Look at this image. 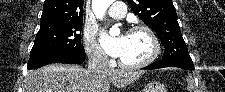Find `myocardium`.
<instances>
[{
    "instance_id": "f54148a6",
    "label": "myocardium",
    "mask_w": 225,
    "mask_h": 92,
    "mask_svg": "<svg viewBox=\"0 0 225 92\" xmlns=\"http://www.w3.org/2000/svg\"><path fill=\"white\" fill-rule=\"evenodd\" d=\"M145 32L151 42H152V53L150 54V56L148 58H146L145 60L138 62V63H125L124 61H122L121 59H119L118 63L120 65V67L125 68V69H141L144 68L148 65H150L159 55L160 53V41L158 36L156 35V33L147 25H143V24H137L132 26L129 30L128 33L130 32Z\"/></svg>"
}]
</instances>
